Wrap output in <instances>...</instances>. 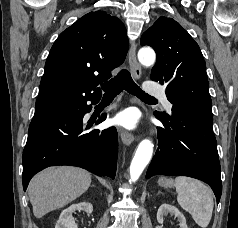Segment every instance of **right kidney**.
<instances>
[{
    "mask_svg": "<svg viewBox=\"0 0 238 228\" xmlns=\"http://www.w3.org/2000/svg\"><path fill=\"white\" fill-rule=\"evenodd\" d=\"M76 210L78 211L82 210L85 211L86 213L91 214L93 212V205L88 202H82L71 205L70 207L62 211L55 228H77L75 224V219L72 216V214Z\"/></svg>",
    "mask_w": 238,
    "mask_h": 228,
    "instance_id": "obj_1",
    "label": "right kidney"
}]
</instances>
